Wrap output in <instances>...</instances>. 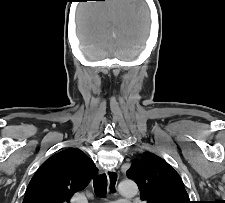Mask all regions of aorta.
<instances>
[{"label": "aorta", "instance_id": "aorta-1", "mask_svg": "<svg viewBox=\"0 0 225 203\" xmlns=\"http://www.w3.org/2000/svg\"><path fill=\"white\" fill-rule=\"evenodd\" d=\"M118 191L123 196H134L138 192L136 183L133 180H122L118 184Z\"/></svg>", "mask_w": 225, "mask_h": 203}]
</instances>
